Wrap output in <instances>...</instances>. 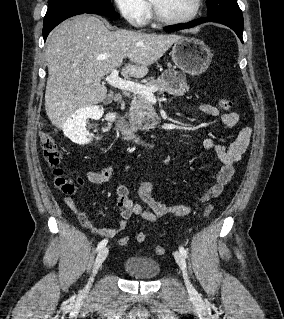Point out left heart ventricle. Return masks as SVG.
<instances>
[{"instance_id":"left-heart-ventricle-1","label":"left heart ventricle","mask_w":284,"mask_h":319,"mask_svg":"<svg viewBox=\"0 0 284 319\" xmlns=\"http://www.w3.org/2000/svg\"><path fill=\"white\" fill-rule=\"evenodd\" d=\"M164 15L172 18H182L190 15L196 0H151Z\"/></svg>"}]
</instances>
